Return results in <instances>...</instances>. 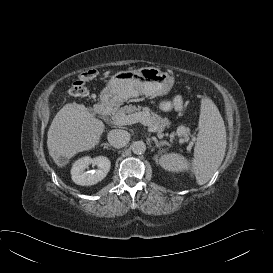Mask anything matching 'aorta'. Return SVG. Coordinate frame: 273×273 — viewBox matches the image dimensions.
Here are the masks:
<instances>
[{
	"label": "aorta",
	"mask_w": 273,
	"mask_h": 273,
	"mask_svg": "<svg viewBox=\"0 0 273 273\" xmlns=\"http://www.w3.org/2000/svg\"><path fill=\"white\" fill-rule=\"evenodd\" d=\"M131 150L134 154H143L146 151V144L144 141H135L131 145Z\"/></svg>",
	"instance_id": "obj_1"
}]
</instances>
